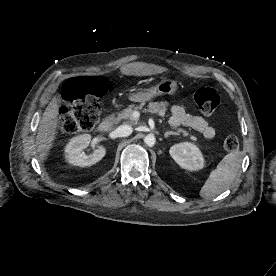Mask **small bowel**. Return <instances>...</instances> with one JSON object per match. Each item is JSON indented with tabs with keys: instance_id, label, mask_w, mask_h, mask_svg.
Masks as SVG:
<instances>
[{
	"instance_id": "c3829d8e",
	"label": "small bowel",
	"mask_w": 276,
	"mask_h": 276,
	"mask_svg": "<svg viewBox=\"0 0 276 276\" xmlns=\"http://www.w3.org/2000/svg\"><path fill=\"white\" fill-rule=\"evenodd\" d=\"M170 113L169 123L171 125L190 127L201 133L206 139L215 137V128L205 118L189 114L179 105L171 106Z\"/></svg>"
}]
</instances>
